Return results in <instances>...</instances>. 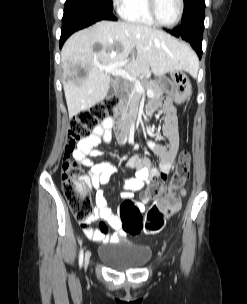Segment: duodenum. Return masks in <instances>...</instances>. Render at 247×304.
<instances>
[{
  "mask_svg": "<svg viewBox=\"0 0 247 304\" xmlns=\"http://www.w3.org/2000/svg\"><path fill=\"white\" fill-rule=\"evenodd\" d=\"M124 112V107L122 104H120L117 107L116 113L117 115H115V119H114V129L113 132L115 134V136H117V144H124V142L127 140L126 137L129 134V131L127 130L129 128L130 125H134L136 123H139L140 121H147L149 119V117L151 116V112L147 111L146 113L142 114V115H138L136 117L134 116H128V119L122 120V115ZM133 119V120H131ZM132 123V124H131ZM143 128V127H140Z\"/></svg>",
  "mask_w": 247,
  "mask_h": 304,
  "instance_id": "duodenum-1",
  "label": "duodenum"
}]
</instances>
